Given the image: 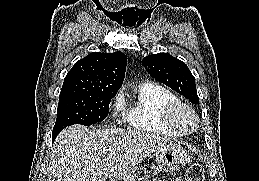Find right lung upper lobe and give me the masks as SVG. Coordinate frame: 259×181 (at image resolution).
I'll list each match as a JSON object with an SVG mask.
<instances>
[{"label": "right lung upper lobe", "instance_id": "cb5924a9", "mask_svg": "<svg viewBox=\"0 0 259 181\" xmlns=\"http://www.w3.org/2000/svg\"><path fill=\"white\" fill-rule=\"evenodd\" d=\"M127 57L122 52H93L74 64L61 90L117 93L121 87Z\"/></svg>", "mask_w": 259, "mask_h": 181}]
</instances>
